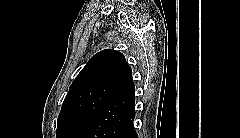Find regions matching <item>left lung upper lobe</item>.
<instances>
[{
  "instance_id": "1",
  "label": "left lung upper lobe",
  "mask_w": 240,
  "mask_h": 138,
  "mask_svg": "<svg viewBox=\"0 0 240 138\" xmlns=\"http://www.w3.org/2000/svg\"><path fill=\"white\" fill-rule=\"evenodd\" d=\"M131 68L122 53L106 49L93 56L70 86L57 120V138H81Z\"/></svg>"
}]
</instances>
